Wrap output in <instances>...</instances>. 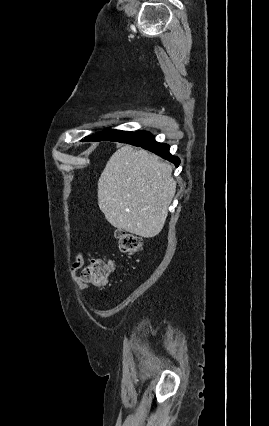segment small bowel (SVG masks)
I'll list each match as a JSON object with an SVG mask.
<instances>
[{
	"instance_id": "1",
	"label": "small bowel",
	"mask_w": 269,
	"mask_h": 426,
	"mask_svg": "<svg viewBox=\"0 0 269 426\" xmlns=\"http://www.w3.org/2000/svg\"><path fill=\"white\" fill-rule=\"evenodd\" d=\"M84 265V255L82 253H77L74 257V260L71 264V276L72 279L74 281V283L76 284V286L80 289V290H89L90 286L89 284H87L86 282H84L82 280V278L80 276H78L77 271L79 269H81Z\"/></svg>"
}]
</instances>
